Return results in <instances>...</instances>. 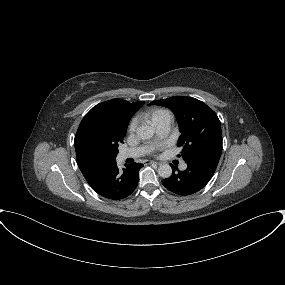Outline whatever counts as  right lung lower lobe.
Returning <instances> with one entry per match:
<instances>
[{"mask_svg": "<svg viewBox=\"0 0 285 285\" xmlns=\"http://www.w3.org/2000/svg\"><path fill=\"white\" fill-rule=\"evenodd\" d=\"M119 170L116 162L84 175L92 189L99 195L120 200L129 196L137 187L139 170L143 167L140 163L125 165Z\"/></svg>", "mask_w": 285, "mask_h": 285, "instance_id": "1", "label": "right lung lower lobe"}]
</instances>
